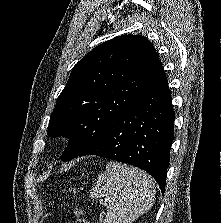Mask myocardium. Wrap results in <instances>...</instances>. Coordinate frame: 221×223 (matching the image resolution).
<instances>
[{
  "instance_id": "f54148a6",
  "label": "myocardium",
  "mask_w": 221,
  "mask_h": 223,
  "mask_svg": "<svg viewBox=\"0 0 221 223\" xmlns=\"http://www.w3.org/2000/svg\"><path fill=\"white\" fill-rule=\"evenodd\" d=\"M75 135V132L73 130H70L67 132L68 137H73Z\"/></svg>"
}]
</instances>
